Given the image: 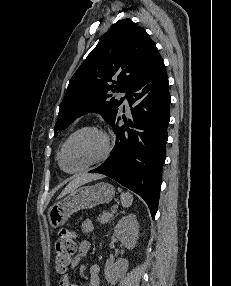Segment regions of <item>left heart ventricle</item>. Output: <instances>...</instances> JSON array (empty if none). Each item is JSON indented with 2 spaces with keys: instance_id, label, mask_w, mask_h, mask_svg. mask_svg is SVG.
Masks as SVG:
<instances>
[{
  "instance_id": "1",
  "label": "left heart ventricle",
  "mask_w": 231,
  "mask_h": 286,
  "mask_svg": "<svg viewBox=\"0 0 231 286\" xmlns=\"http://www.w3.org/2000/svg\"><path fill=\"white\" fill-rule=\"evenodd\" d=\"M104 150L100 135L86 131L76 135L65 147L62 165L68 171L76 170L98 158Z\"/></svg>"
}]
</instances>
